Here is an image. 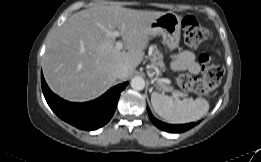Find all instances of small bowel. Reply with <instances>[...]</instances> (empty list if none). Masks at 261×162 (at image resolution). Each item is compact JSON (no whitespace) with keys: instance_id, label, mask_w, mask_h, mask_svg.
<instances>
[{"instance_id":"c3829d8e","label":"small bowel","mask_w":261,"mask_h":162,"mask_svg":"<svg viewBox=\"0 0 261 162\" xmlns=\"http://www.w3.org/2000/svg\"><path fill=\"white\" fill-rule=\"evenodd\" d=\"M171 67L174 70H188L194 74L201 71L200 64L196 61L195 55L190 51H181L173 55Z\"/></svg>"}]
</instances>
